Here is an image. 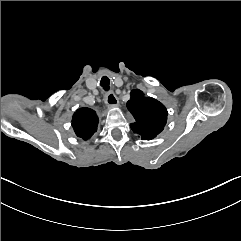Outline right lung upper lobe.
<instances>
[{
    "mask_svg": "<svg viewBox=\"0 0 241 241\" xmlns=\"http://www.w3.org/2000/svg\"><path fill=\"white\" fill-rule=\"evenodd\" d=\"M97 125L98 117L92 109L80 108L73 115L72 126L83 140H88L97 131Z\"/></svg>",
    "mask_w": 241,
    "mask_h": 241,
    "instance_id": "cb5924a9",
    "label": "right lung upper lobe"
}]
</instances>
